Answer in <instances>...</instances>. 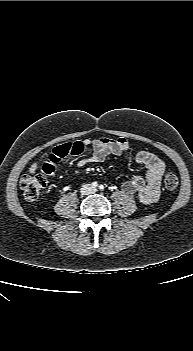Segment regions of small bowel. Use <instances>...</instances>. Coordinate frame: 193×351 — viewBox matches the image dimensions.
<instances>
[{"label":"small bowel","instance_id":"small-bowel-1","mask_svg":"<svg viewBox=\"0 0 193 351\" xmlns=\"http://www.w3.org/2000/svg\"><path fill=\"white\" fill-rule=\"evenodd\" d=\"M129 142L125 138H92L76 140L55 145L48 153L42 164L43 171L53 176L58 163L69 156H83L86 148L92 150L89 157L80 159L77 168L82 169L91 162H102L109 156H120L129 149ZM136 162L146 169L145 176H133L123 183L122 191L128 195H135L144 203H153L157 200L160 192V181L165 172V163L156 155L140 151L135 156ZM39 168V162H33L29 167L30 173H35Z\"/></svg>","mask_w":193,"mask_h":351}]
</instances>
